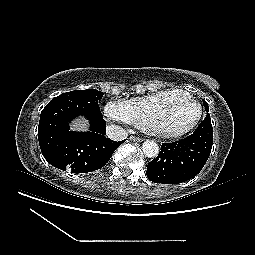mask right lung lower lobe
I'll list each match as a JSON object with an SVG mask.
<instances>
[{
    "label": "right lung lower lobe",
    "mask_w": 255,
    "mask_h": 255,
    "mask_svg": "<svg viewBox=\"0 0 255 255\" xmlns=\"http://www.w3.org/2000/svg\"><path fill=\"white\" fill-rule=\"evenodd\" d=\"M90 123V131L75 132L67 128L48 149L41 150L48 163L71 173H87L103 167L125 140L116 142L106 138L103 118Z\"/></svg>",
    "instance_id": "obj_1"
}]
</instances>
